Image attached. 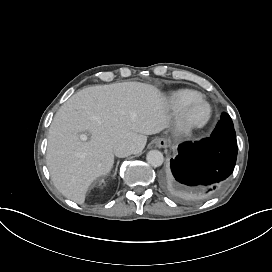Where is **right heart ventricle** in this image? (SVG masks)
Returning a JSON list of instances; mask_svg holds the SVG:
<instances>
[{
  "label": "right heart ventricle",
  "mask_w": 272,
  "mask_h": 272,
  "mask_svg": "<svg viewBox=\"0 0 272 272\" xmlns=\"http://www.w3.org/2000/svg\"><path fill=\"white\" fill-rule=\"evenodd\" d=\"M199 95V92L191 88H183L174 91L170 95V102L173 106L179 107L184 101L192 99Z\"/></svg>",
  "instance_id": "1"
}]
</instances>
